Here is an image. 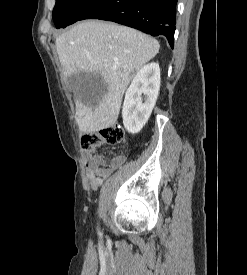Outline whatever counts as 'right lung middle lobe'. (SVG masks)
Masks as SVG:
<instances>
[{"mask_svg":"<svg viewBox=\"0 0 247 275\" xmlns=\"http://www.w3.org/2000/svg\"><path fill=\"white\" fill-rule=\"evenodd\" d=\"M98 0H56L52 17L56 28L75 23Z\"/></svg>","mask_w":247,"mask_h":275,"instance_id":"1","label":"right lung middle lobe"}]
</instances>
